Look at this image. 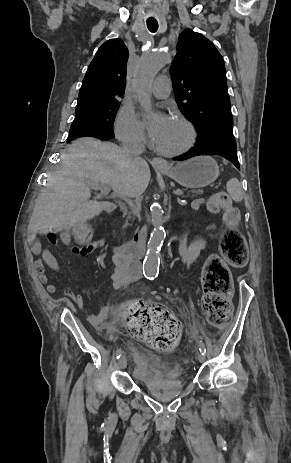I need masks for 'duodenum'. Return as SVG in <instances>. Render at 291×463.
I'll list each match as a JSON object with an SVG mask.
<instances>
[{"instance_id":"obj_1","label":"duodenum","mask_w":291,"mask_h":463,"mask_svg":"<svg viewBox=\"0 0 291 463\" xmlns=\"http://www.w3.org/2000/svg\"><path fill=\"white\" fill-rule=\"evenodd\" d=\"M104 209L109 212L111 215H114L117 212L116 206L107 203L104 206ZM146 230H142L137 233L132 239L127 242H124L114 248L115 253H123L131 256L132 258L138 259L142 258L144 250L143 244L145 241ZM139 262V261H138Z\"/></svg>"}]
</instances>
